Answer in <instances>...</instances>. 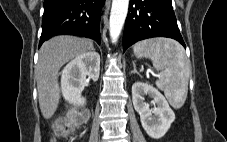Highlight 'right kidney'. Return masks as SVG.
Returning <instances> with one entry per match:
<instances>
[{"label": "right kidney", "instance_id": "1", "mask_svg": "<svg viewBox=\"0 0 227 142\" xmlns=\"http://www.w3.org/2000/svg\"><path fill=\"white\" fill-rule=\"evenodd\" d=\"M100 72V55L97 52H87L69 62L62 71L61 90L63 97L70 104L83 107L86 99L81 96L88 76L94 82Z\"/></svg>", "mask_w": 227, "mask_h": 142}]
</instances>
